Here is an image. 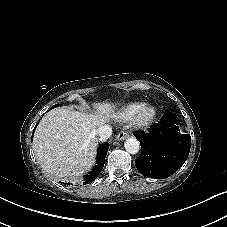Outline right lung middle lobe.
<instances>
[{
  "mask_svg": "<svg viewBox=\"0 0 227 227\" xmlns=\"http://www.w3.org/2000/svg\"><path fill=\"white\" fill-rule=\"evenodd\" d=\"M57 106H61L60 104H56V105H54L51 109H53V108H55V107H57Z\"/></svg>",
  "mask_w": 227,
  "mask_h": 227,
  "instance_id": "dd1d6c3e",
  "label": "right lung middle lobe"
}]
</instances>
